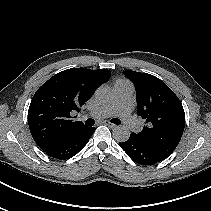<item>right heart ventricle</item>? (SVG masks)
Here are the masks:
<instances>
[{
  "instance_id": "right-heart-ventricle-1",
  "label": "right heart ventricle",
  "mask_w": 211,
  "mask_h": 211,
  "mask_svg": "<svg viewBox=\"0 0 211 211\" xmlns=\"http://www.w3.org/2000/svg\"><path fill=\"white\" fill-rule=\"evenodd\" d=\"M119 82H127V81H125V80H118V81H116V83H119Z\"/></svg>"
}]
</instances>
